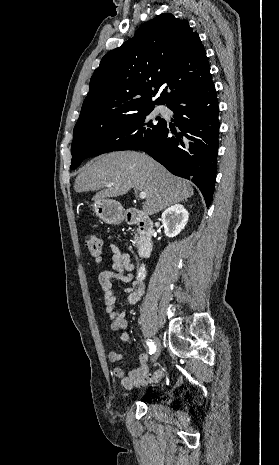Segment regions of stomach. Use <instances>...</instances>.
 <instances>
[{
	"mask_svg": "<svg viewBox=\"0 0 279 465\" xmlns=\"http://www.w3.org/2000/svg\"><path fill=\"white\" fill-rule=\"evenodd\" d=\"M93 210L100 219L111 225H118L123 222L122 205L110 199H98L93 203Z\"/></svg>",
	"mask_w": 279,
	"mask_h": 465,
	"instance_id": "obj_1",
	"label": "stomach"
}]
</instances>
